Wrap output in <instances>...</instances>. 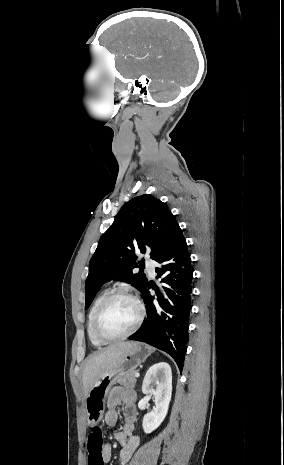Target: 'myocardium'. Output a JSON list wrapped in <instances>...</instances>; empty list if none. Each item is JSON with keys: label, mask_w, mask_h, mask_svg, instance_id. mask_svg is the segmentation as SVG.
Instances as JSON below:
<instances>
[{"label": "myocardium", "mask_w": 284, "mask_h": 465, "mask_svg": "<svg viewBox=\"0 0 284 465\" xmlns=\"http://www.w3.org/2000/svg\"><path fill=\"white\" fill-rule=\"evenodd\" d=\"M120 299H126L130 300L131 302L134 303L137 312H138V319L133 326V328L124 336L119 337V338H105L100 335L98 331V325L100 322L101 317L103 316L104 312L107 310V308L116 300ZM145 317V309L143 306L142 301L138 296H136L133 293H130L128 291H117L112 294H110L98 307L97 311L94 314L93 321H92V333L94 338L101 344H115L119 343L122 341H125L129 338H131L140 328L143 320Z\"/></svg>", "instance_id": "obj_1"}]
</instances>
